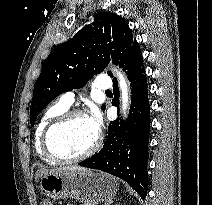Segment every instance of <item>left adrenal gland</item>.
Returning a JSON list of instances; mask_svg holds the SVG:
<instances>
[{
    "instance_id": "obj_1",
    "label": "left adrenal gland",
    "mask_w": 212,
    "mask_h": 205,
    "mask_svg": "<svg viewBox=\"0 0 212 205\" xmlns=\"http://www.w3.org/2000/svg\"><path fill=\"white\" fill-rule=\"evenodd\" d=\"M111 204V202H108V203H106L105 205H110Z\"/></svg>"
}]
</instances>
